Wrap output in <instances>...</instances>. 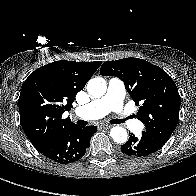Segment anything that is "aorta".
<instances>
[{
  "label": "aorta",
  "instance_id": "obj_1",
  "mask_svg": "<svg viewBox=\"0 0 196 196\" xmlns=\"http://www.w3.org/2000/svg\"><path fill=\"white\" fill-rule=\"evenodd\" d=\"M106 89V81L101 77L93 78L89 80L87 84V91L94 98L102 97L105 94ZM110 136L112 137L114 142H117L119 144L125 143L128 138L126 129L121 126L113 127L110 130Z\"/></svg>",
  "mask_w": 196,
  "mask_h": 196
}]
</instances>
